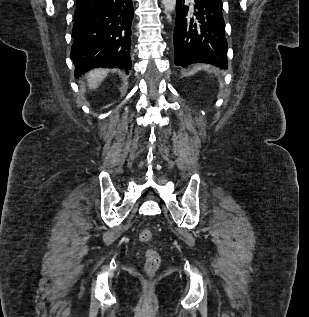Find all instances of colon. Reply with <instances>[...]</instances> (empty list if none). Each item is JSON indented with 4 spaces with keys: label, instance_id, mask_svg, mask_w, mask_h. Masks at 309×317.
<instances>
[{
    "label": "colon",
    "instance_id": "1",
    "mask_svg": "<svg viewBox=\"0 0 309 317\" xmlns=\"http://www.w3.org/2000/svg\"><path fill=\"white\" fill-rule=\"evenodd\" d=\"M152 232L149 229H143L139 232V240L142 243H148L152 240ZM145 271L149 276H152L156 273L160 266L161 258L159 253L152 248H148L145 252Z\"/></svg>",
    "mask_w": 309,
    "mask_h": 317
}]
</instances>
